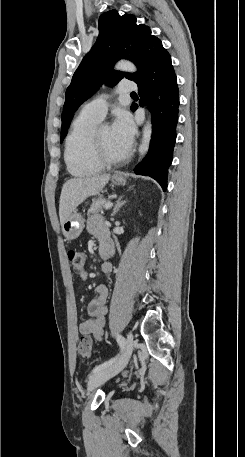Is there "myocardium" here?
<instances>
[{
    "mask_svg": "<svg viewBox=\"0 0 245 457\" xmlns=\"http://www.w3.org/2000/svg\"><path fill=\"white\" fill-rule=\"evenodd\" d=\"M99 128L94 127L92 128L86 138H85V149H84V157L85 159L95 167L102 168L108 167L111 165H115L119 162L125 161L129 157V151H126L124 154L120 156H105L99 157L95 153V138Z\"/></svg>",
    "mask_w": 245,
    "mask_h": 457,
    "instance_id": "myocardium-1",
    "label": "myocardium"
}]
</instances>
